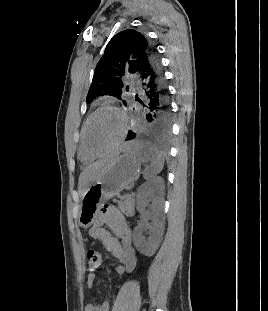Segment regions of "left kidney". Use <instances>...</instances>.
<instances>
[{
  "label": "left kidney",
  "instance_id": "obj_1",
  "mask_svg": "<svg viewBox=\"0 0 268 311\" xmlns=\"http://www.w3.org/2000/svg\"><path fill=\"white\" fill-rule=\"evenodd\" d=\"M163 195L164 181L161 177L145 182L137 192V209L142 214V220L134 229L133 243L136 249L145 256L155 254L163 236ZM147 206L148 211L145 210ZM145 229L149 230V236L144 235Z\"/></svg>",
  "mask_w": 268,
  "mask_h": 311
}]
</instances>
